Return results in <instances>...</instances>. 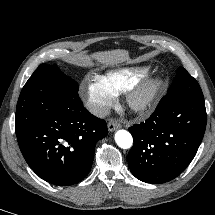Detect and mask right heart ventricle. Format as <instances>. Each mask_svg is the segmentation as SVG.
Here are the masks:
<instances>
[{"mask_svg":"<svg viewBox=\"0 0 215 215\" xmlns=\"http://www.w3.org/2000/svg\"><path fill=\"white\" fill-rule=\"evenodd\" d=\"M146 72V69L141 68H120L107 71L105 74L99 76V78L108 89L115 95H118L138 83Z\"/></svg>","mask_w":215,"mask_h":215,"instance_id":"right-heart-ventricle-1","label":"right heart ventricle"}]
</instances>
